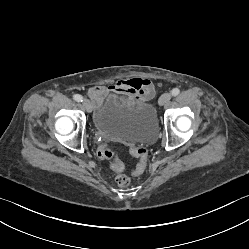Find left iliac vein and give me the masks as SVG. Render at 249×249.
Returning <instances> with one entry per match:
<instances>
[{"instance_id":"left-iliac-vein-1","label":"left iliac vein","mask_w":249,"mask_h":249,"mask_svg":"<svg viewBox=\"0 0 249 249\" xmlns=\"http://www.w3.org/2000/svg\"><path fill=\"white\" fill-rule=\"evenodd\" d=\"M171 99V94L170 93H164L160 98H159V105H165L168 103Z\"/></svg>"}]
</instances>
